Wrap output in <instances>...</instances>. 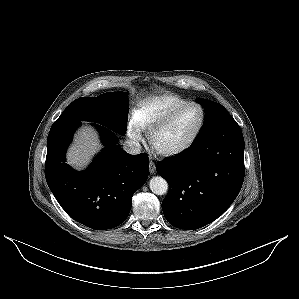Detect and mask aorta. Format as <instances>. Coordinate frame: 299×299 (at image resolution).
<instances>
[{"instance_id":"1","label":"aorta","mask_w":299,"mask_h":299,"mask_svg":"<svg viewBox=\"0 0 299 299\" xmlns=\"http://www.w3.org/2000/svg\"><path fill=\"white\" fill-rule=\"evenodd\" d=\"M149 186L151 191L156 195H164L168 190L167 181L160 176L151 178Z\"/></svg>"}]
</instances>
